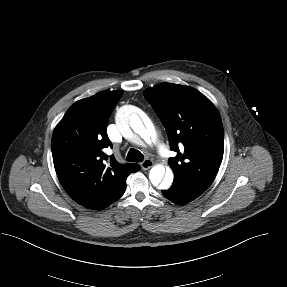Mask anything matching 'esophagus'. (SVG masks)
Here are the masks:
<instances>
[{
    "instance_id": "1",
    "label": "esophagus",
    "mask_w": 287,
    "mask_h": 287,
    "mask_svg": "<svg viewBox=\"0 0 287 287\" xmlns=\"http://www.w3.org/2000/svg\"><path fill=\"white\" fill-rule=\"evenodd\" d=\"M153 165H154V162L151 159H145L141 163V167L143 170H147V169L151 168Z\"/></svg>"
}]
</instances>
